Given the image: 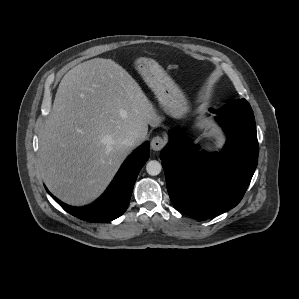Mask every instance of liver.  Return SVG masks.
<instances>
[{
  "label": "liver",
  "instance_id": "1",
  "mask_svg": "<svg viewBox=\"0 0 299 299\" xmlns=\"http://www.w3.org/2000/svg\"><path fill=\"white\" fill-rule=\"evenodd\" d=\"M160 117L139 84L111 59L94 58L62 78L39 140L40 172L61 201L82 206L111 182L132 148Z\"/></svg>",
  "mask_w": 299,
  "mask_h": 299
}]
</instances>
